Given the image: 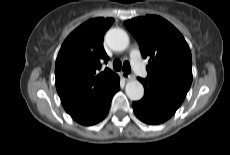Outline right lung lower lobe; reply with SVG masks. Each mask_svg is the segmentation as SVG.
Masks as SVG:
<instances>
[{"label": "right lung lower lobe", "instance_id": "1", "mask_svg": "<svg viewBox=\"0 0 230 155\" xmlns=\"http://www.w3.org/2000/svg\"><path fill=\"white\" fill-rule=\"evenodd\" d=\"M120 79L117 76L113 85L109 89L108 93L103 96L99 101L95 104H92L86 107L83 110H80L75 113H71L70 116L82 125H94L100 121H102L110 108L111 100L113 95L119 90L120 88Z\"/></svg>", "mask_w": 230, "mask_h": 155}]
</instances>
